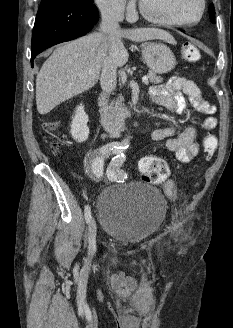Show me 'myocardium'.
I'll return each instance as SVG.
<instances>
[{
    "instance_id": "1",
    "label": "myocardium",
    "mask_w": 233,
    "mask_h": 328,
    "mask_svg": "<svg viewBox=\"0 0 233 328\" xmlns=\"http://www.w3.org/2000/svg\"><path fill=\"white\" fill-rule=\"evenodd\" d=\"M199 3H200V12H199L197 18L194 19L193 21H188V22L165 19V18L158 17L156 15H153L144 7L141 0H139L138 8H139L140 14L146 20H148L149 22H152L154 24L162 25V26H174V27H192V26L199 24L202 21L204 15H205V12H206V0H199Z\"/></svg>"
}]
</instances>
